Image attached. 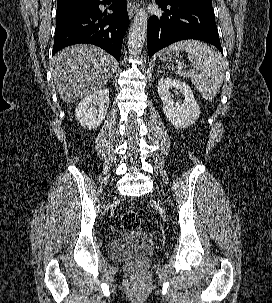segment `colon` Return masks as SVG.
Returning <instances> with one entry per match:
<instances>
[{
  "label": "colon",
  "mask_w": 272,
  "mask_h": 303,
  "mask_svg": "<svg viewBox=\"0 0 272 303\" xmlns=\"http://www.w3.org/2000/svg\"><path fill=\"white\" fill-rule=\"evenodd\" d=\"M121 225L129 231L139 230L141 227V218L135 211H126L121 217Z\"/></svg>",
  "instance_id": "obj_1"
}]
</instances>
